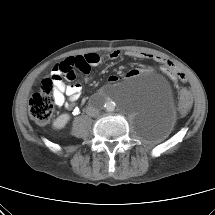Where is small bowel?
Listing matches in <instances>:
<instances>
[{
    "mask_svg": "<svg viewBox=\"0 0 215 215\" xmlns=\"http://www.w3.org/2000/svg\"><path fill=\"white\" fill-rule=\"evenodd\" d=\"M126 55L132 58H151V59H154L155 61L164 63L163 59L146 53L128 51ZM119 56H120L119 51H112L106 56L99 55L96 53H88L77 57H69L66 60L73 64V67L76 69L77 72H81L85 75L86 81H89L90 79L89 73L93 67L103 64L106 60H115ZM61 63H59L53 68V70L50 73V76L55 73V68L58 67ZM81 67H86L87 70H81ZM137 74H138L137 70H132L128 75L135 76ZM73 79L75 78H71L68 80H73ZM118 80L119 78L116 75H111L109 77V82L111 83H115ZM81 93H82V86L78 83L67 85L62 81V79H57L54 81V97H55V102L58 106H64L68 109H72L76 101L80 98Z\"/></svg>",
    "mask_w": 215,
    "mask_h": 215,
    "instance_id": "small-bowel-1",
    "label": "small bowel"
}]
</instances>
